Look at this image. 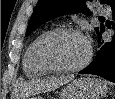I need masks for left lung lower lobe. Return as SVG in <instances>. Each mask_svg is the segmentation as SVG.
Returning <instances> with one entry per match:
<instances>
[{
	"label": "left lung lower lobe",
	"instance_id": "obj_1",
	"mask_svg": "<svg viewBox=\"0 0 115 99\" xmlns=\"http://www.w3.org/2000/svg\"><path fill=\"white\" fill-rule=\"evenodd\" d=\"M112 13V18L115 20V5L112 7ZM113 29L115 30V24H113ZM112 38L111 42L103 43L101 42V34H99L98 44L101 43V46L96 57L91 64L79 73L98 75L111 82H115V34Z\"/></svg>",
	"mask_w": 115,
	"mask_h": 99
}]
</instances>
